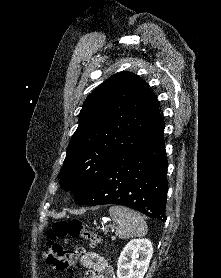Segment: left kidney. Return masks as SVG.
<instances>
[{
    "label": "left kidney",
    "mask_w": 221,
    "mask_h": 278,
    "mask_svg": "<svg viewBox=\"0 0 221 278\" xmlns=\"http://www.w3.org/2000/svg\"><path fill=\"white\" fill-rule=\"evenodd\" d=\"M153 255L149 239H133L120 253L117 278H143Z\"/></svg>",
    "instance_id": "1"
}]
</instances>
